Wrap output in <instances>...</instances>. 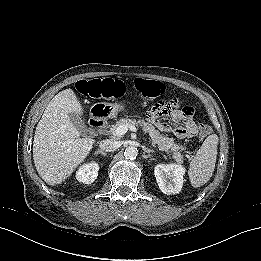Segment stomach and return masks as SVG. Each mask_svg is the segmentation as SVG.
I'll use <instances>...</instances> for the list:
<instances>
[{
  "label": "stomach",
  "mask_w": 261,
  "mask_h": 261,
  "mask_svg": "<svg viewBox=\"0 0 261 261\" xmlns=\"http://www.w3.org/2000/svg\"><path fill=\"white\" fill-rule=\"evenodd\" d=\"M101 104H103L107 110L110 109V112H109L110 115H117L119 112H122L125 110L124 103H122L120 101L101 102Z\"/></svg>",
  "instance_id": "stomach-1"
}]
</instances>
